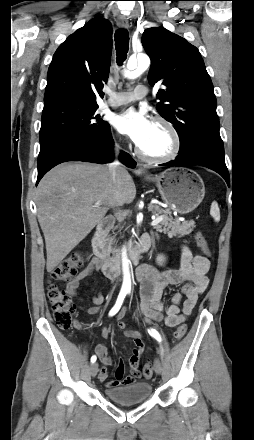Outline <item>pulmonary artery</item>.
Wrapping results in <instances>:
<instances>
[{
  "instance_id": "e3ab8cb5",
  "label": "pulmonary artery",
  "mask_w": 254,
  "mask_h": 440,
  "mask_svg": "<svg viewBox=\"0 0 254 440\" xmlns=\"http://www.w3.org/2000/svg\"><path fill=\"white\" fill-rule=\"evenodd\" d=\"M148 93L147 87L144 85H138L133 91L120 92L113 95L105 103V107H116L131 103L137 99L144 98Z\"/></svg>"
}]
</instances>
